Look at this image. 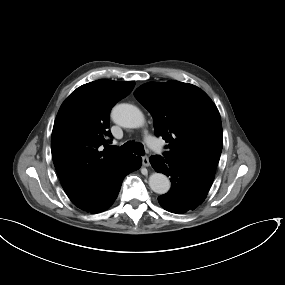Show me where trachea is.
Returning <instances> with one entry per match:
<instances>
[{
    "instance_id": "1",
    "label": "trachea",
    "mask_w": 285,
    "mask_h": 285,
    "mask_svg": "<svg viewBox=\"0 0 285 285\" xmlns=\"http://www.w3.org/2000/svg\"><path fill=\"white\" fill-rule=\"evenodd\" d=\"M114 152H119L123 154L135 153L136 155L143 156L145 154L144 146L141 143H134L132 141L126 142L124 145L113 148Z\"/></svg>"
}]
</instances>
